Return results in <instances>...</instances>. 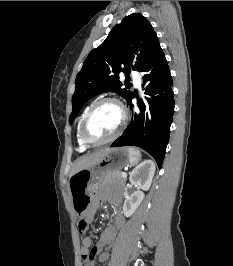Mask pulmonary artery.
I'll return each mask as SVG.
<instances>
[{
    "label": "pulmonary artery",
    "instance_id": "1",
    "mask_svg": "<svg viewBox=\"0 0 233 266\" xmlns=\"http://www.w3.org/2000/svg\"><path fill=\"white\" fill-rule=\"evenodd\" d=\"M131 76H132V79H133L135 85L137 87H139L141 84V77H140L139 73L133 72Z\"/></svg>",
    "mask_w": 233,
    "mask_h": 266
}]
</instances>
